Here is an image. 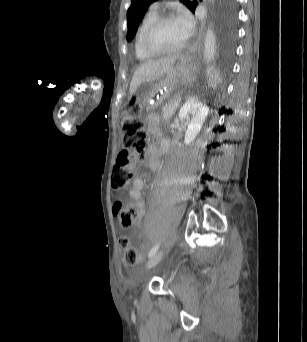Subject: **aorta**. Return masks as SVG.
I'll return each mask as SVG.
<instances>
[{"mask_svg": "<svg viewBox=\"0 0 307 342\" xmlns=\"http://www.w3.org/2000/svg\"><path fill=\"white\" fill-rule=\"evenodd\" d=\"M210 2H214V0H210ZM217 46H216V36L209 26L204 42V62H212L214 60V56L216 54Z\"/></svg>", "mask_w": 307, "mask_h": 342, "instance_id": "obj_1", "label": "aorta"}]
</instances>
